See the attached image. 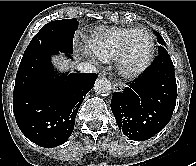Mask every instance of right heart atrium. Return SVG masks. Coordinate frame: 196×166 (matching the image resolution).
<instances>
[{"label":"right heart atrium","mask_w":196,"mask_h":166,"mask_svg":"<svg viewBox=\"0 0 196 166\" xmlns=\"http://www.w3.org/2000/svg\"><path fill=\"white\" fill-rule=\"evenodd\" d=\"M84 53H85V54H89V52H88V51H86V50L84 51Z\"/></svg>","instance_id":"right-heart-atrium-1"}]
</instances>
